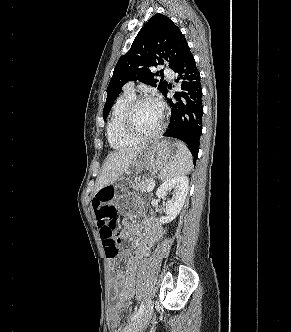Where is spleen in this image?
Returning a JSON list of instances; mask_svg holds the SVG:
<instances>
[{"label": "spleen", "instance_id": "3e777b00", "mask_svg": "<svg viewBox=\"0 0 291 332\" xmlns=\"http://www.w3.org/2000/svg\"><path fill=\"white\" fill-rule=\"evenodd\" d=\"M176 156L170 160L160 171L161 180H169L174 177L189 174L193 168L192 154L187 146L180 141L175 142Z\"/></svg>", "mask_w": 291, "mask_h": 332}]
</instances>
